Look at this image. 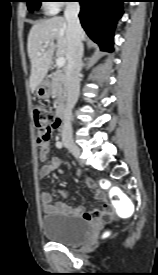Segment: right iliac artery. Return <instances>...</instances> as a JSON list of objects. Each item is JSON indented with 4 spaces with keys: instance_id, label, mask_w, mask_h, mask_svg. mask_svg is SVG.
<instances>
[{
    "instance_id": "82829eb1",
    "label": "right iliac artery",
    "mask_w": 158,
    "mask_h": 275,
    "mask_svg": "<svg viewBox=\"0 0 158 275\" xmlns=\"http://www.w3.org/2000/svg\"><path fill=\"white\" fill-rule=\"evenodd\" d=\"M56 146H57L58 148H62L63 144H62V142H57V143H56Z\"/></svg>"
}]
</instances>
